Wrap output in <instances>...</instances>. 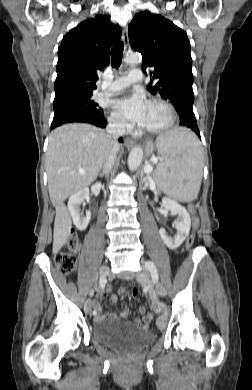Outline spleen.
<instances>
[{
  "label": "spleen",
  "instance_id": "spleen-1",
  "mask_svg": "<svg viewBox=\"0 0 252 390\" xmlns=\"http://www.w3.org/2000/svg\"><path fill=\"white\" fill-rule=\"evenodd\" d=\"M162 155L154 181L167 196L180 202L198 197L203 175V152L194 133L175 128L156 140Z\"/></svg>",
  "mask_w": 252,
  "mask_h": 390
}]
</instances>
